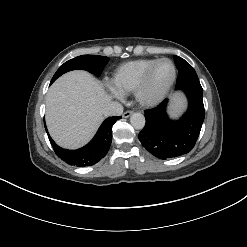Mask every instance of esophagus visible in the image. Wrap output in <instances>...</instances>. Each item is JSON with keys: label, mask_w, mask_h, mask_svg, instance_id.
Returning a JSON list of instances; mask_svg holds the SVG:
<instances>
[{"label": "esophagus", "mask_w": 247, "mask_h": 247, "mask_svg": "<svg viewBox=\"0 0 247 247\" xmlns=\"http://www.w3.org/2000/svg\"><path fill=\"white\" fill-rule=\"evenodd\" d=\"M132 114H133V111L128 110V111H125V112L123 113V117H124V118H128V117H130Z\"/></svg>", "instance_id": "esophagus-1"}]
</instances>
